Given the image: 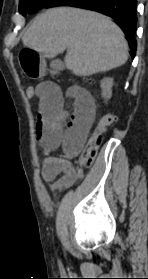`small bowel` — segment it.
<instances>
[{"label":"small bowel","mask_w":148,"mask_h":279,"mask_svg":"<svg viewBox=\"0 0 148 279\" xmlns=\"http://www.w3.org/2000/svg\"><path fill=\"white\" fill-rule=\"evenodd\" d=\"M38 116L36 135L44 155L42 179L53 191H63L84 176V171L71 163L83 148L95 117V103L82 87L70 86L62 90L51 82L36 86ZM66 100H71L73 112L68 113ZM61 148V156L53 153Z\"/></svg>","instance_id":"1"}]
</instances>
